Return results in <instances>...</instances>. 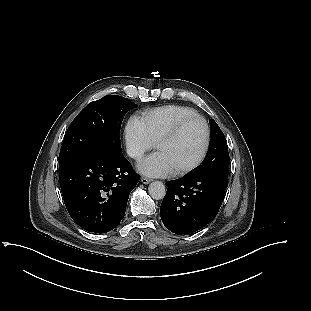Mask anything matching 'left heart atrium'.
Instances as JSON below:
<instances>
[{
	"label": "left heart atrium",
	"instance_id": "obj_1",
	"mask_svg": "<svg viewBox=\"0 0 311 311\" xmlns=\"http://www.w3.org/2000/svg\"><path fill=\"white\" fill-rule=\"evenodd\" d=\"M138 170L142 174L150 177H164L173 172L166 156L160 151H157L143 159L138 164Z\"/></svg>",
	"mask_w": 311,
	"mask_h": 311
}]
</instances>
